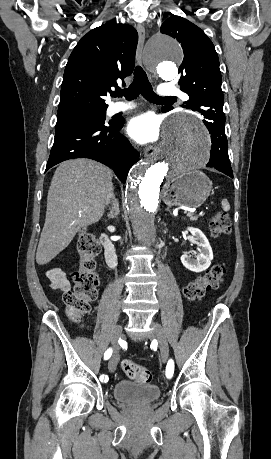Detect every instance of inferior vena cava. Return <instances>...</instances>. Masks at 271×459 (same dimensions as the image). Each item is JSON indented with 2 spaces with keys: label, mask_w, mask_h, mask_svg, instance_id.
I'll use <instances>...</instances> for the list:
<instances>
[{
  "label": "inferior vena cava",
  "mask_w": 271,
  "mask_h": 459,
  "mask_svg": "<svg viewBox=\"0 0 271 459\" xmlns=\"http://www.w3.org/2000/svg\"><path fill=\"white\" fill-rule=\"evenodd\" d=\"M113 194L111 192V194H109L108 198H112ZM109 200H107V204H108ZM115 212H119V208H116Z\"/></svg>",
  "instance_id": "inferior-vena-cava-1"
}]
</instances>
